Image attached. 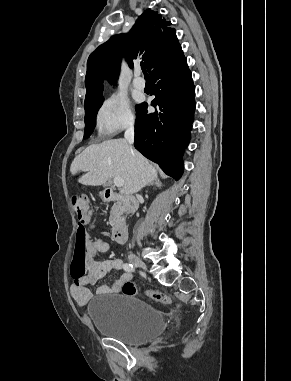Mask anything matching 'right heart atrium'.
<instances>
[{
  "label": "right heart atrium",
  "instance_id": "d8ad5b80",
  "mask_svg": "<svg viewBox=\"0 0 291 381\" xmlns=\"http://www.w3.org/2000/svg\"><path fill=\"white\" fill-rule=\"evenodd\" d=\"M130 104L124 97L113 95L103 101L96 115V126L102 135H112L134 125Z\"/></svg>",
  "mask_w": 291,
  "mask_h": 381
}]
</instances>
